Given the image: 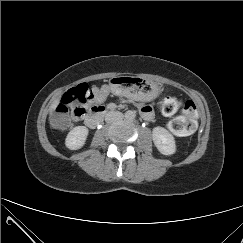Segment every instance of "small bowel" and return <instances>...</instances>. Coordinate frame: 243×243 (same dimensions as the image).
<instances>
[{
  "instance_id": "small-bowel-1",
  "label": "small bowel",
  "mask_w": 243,
  "mask_h": 243,
  "mask_svg": "<svg viewBox=\"0 0 243 243\" xmlns=\"http://www.w3.org/2000/svg\"><path fill=\"white\" fill-rule=\"evenodd\" d=\"M93 90H94V97L91 103H97V104L102 103L106 99L109 92L107 86H102L100 88H95ZM138 109L144 119L152 120L154 118V110L151 105L146 103H139Z\"/></svg>"
}]
</instances>
